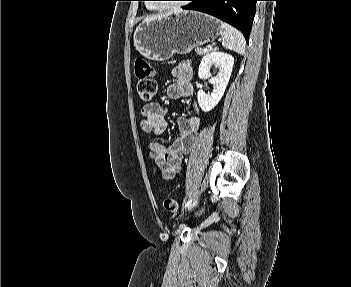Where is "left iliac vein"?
Listing matches in <instances>:
<instances>
[{
	"mask_svg": "<svg viewBox=\"0 0 351 287\" xmlns=\"http://www.w3.org/2000/svg\"><path fill=\"white\" fill-rule=\"evenodd\" d=\"M197 203H198V199H195V200L189 205V207H187V210H188V211L192 210V209L196 206Z\"/></svg>",
	"mask_w": 351,
	"mask_h": 287,
	"instance_id": "obj_1",
	"label": "left iliac vein"
}]
</instances>
